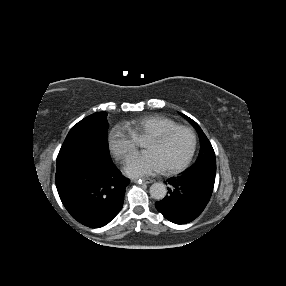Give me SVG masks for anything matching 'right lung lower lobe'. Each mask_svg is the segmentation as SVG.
Here are the masks:
<instances>
[{
    "instance_id": "right-lung-lower-lobe-1",
    "label": "right lung lower lobe",
    "mask_w": 286,
    "mask_h": 286,
    "mask_svg": "<svg viewBox=\"0 0 286 286\" xmlns=\"http://www.w3.org/2000/svg\"><path fill=\"white\" fill-rule=\"evenodd\" d=\"M129 179L110 157L97 153H73L57 158L56 187L74 219L100 228L121 210Z\"/></svg>"
}]
</instances>
